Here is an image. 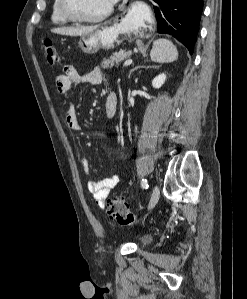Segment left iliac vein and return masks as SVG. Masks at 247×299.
<instances>
[{"instance_id":"1","label":"left iliac vein","mask_w":247,"mask_h":299,"mask_svg":"<svg viewBox=\"0 0 247 299\" xmlns=\"http://www.w3.org/2000/svg\"><path fill=\"white\" fill-rule=\"evenodd\" d=\"M159 197H160V190L158 186H155L153 188L151 199L149 201V205H148L149 209H152L157 204Z\"/></svg>"}]
</instances>
